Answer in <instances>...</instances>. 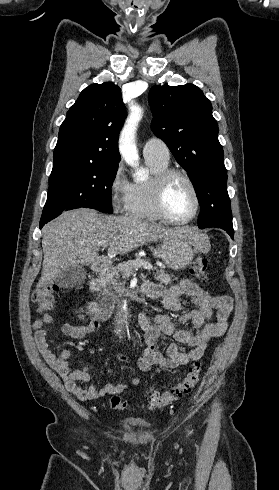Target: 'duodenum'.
Instances as JSON below:
<instances>
[{"label":"duodenum","mask_w":279,"mask_h":490,"mask_svg":"<svg viewBox=\"0 0 279 490\" xmlns=\"http://www.w3.org/2000/svg\"><path fill=\"white\" fill-rule=\"evenodd\" d=\"M104 267L105 263L102 260H96L92 264V269L95 272L102 271ZM139 292L145 294L144 288L141 287ZM130 293L131 289L128 286L118 287L113 294L103 297L100 301H91L88 304V311L93 318L105 320L111 316L116 298L128 296Z\"/></svg>","instance_id":"obj_1"}]
</instances>
